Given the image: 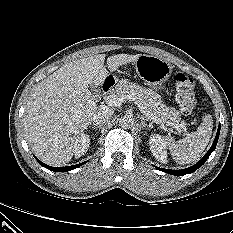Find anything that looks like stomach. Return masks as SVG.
<instances>
[{
    "mask_svg": "<svg viewBox=\"0 0 233 233\" xmlns=\"http://www.w3.org/2000/svg\"><path fill=\"white\" fill-rule=\"evenodd\" d=\"M172 65L167 60L152 55H140L135 69L140 79L153 89H162L172 74Z\"/></svg>",
    "mask_w": 233,
    "mask_h": 233,
    "instance_id": "1",
    "label": "stomach"
}]
</instances>
